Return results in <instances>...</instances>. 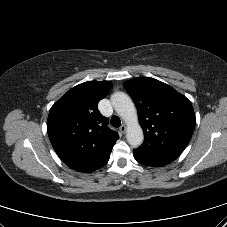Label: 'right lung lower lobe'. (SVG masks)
I'll return each instance as SVG.
<instances>
[{"label": "right lung lower lobe", "instance_id": "1", "mask_svg": "<svg viewBox=\"0 0 227 227\" xmlns=\"http://www.w3.org/2000/svg\"><path fill=\"white\" fill-rule=\"evenodd\" d=\"M112 148L108 149L102 156L95 159L94 161L87 162L86 164L80 166H72L70 168L83 173L93 172L108 162Z\"/></svg>", "mask_w": 227, "mask_h": 227}]
</instances>
